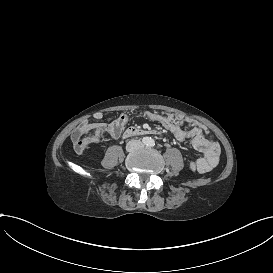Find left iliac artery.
Returning a JSON list of instances; mask_svg holds the SVG:
<instances>
[{
	"label": "left iliac artery",
	"instance_id": "44dca946",
	"mask_svg": "<svg viewBox=\"0 0 273 273\" xmlns=\"http://www.w3.org/2000/svg\"><path fill=\"white\" fill-rule=\"evenodd\" d=\"M148 145L150 146V147H153L154 145H155V142H154V140H150V142L148 143Z\"/></svg>",
	"mask_w": 273,
	"mask_h": 273
}]
</instances>
